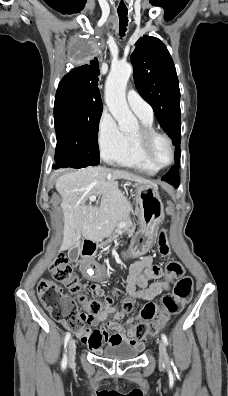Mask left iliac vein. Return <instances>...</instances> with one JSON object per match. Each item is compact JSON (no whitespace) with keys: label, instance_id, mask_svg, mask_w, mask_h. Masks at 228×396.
I'll list each match as a JSON object with an SVG mask.
<instances>
[{"label":"left iliac vein","instance_id":"1","mask_svg":"<svg viewBox=\"0 0 228 396\" xmlns=\"http://www.w3.org/2000/svg\"><path fill=\"white\" fill-rule=\"evenodd\" d=\"M158 346H159V359L160 362L163 364H167L168 363V356H167V352H166V348L164 343L158 339Z\"/></svg>","mask_w":228,"mask_h":396}]
</instances>
